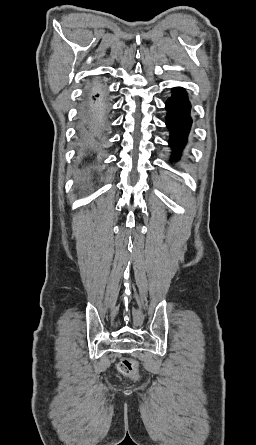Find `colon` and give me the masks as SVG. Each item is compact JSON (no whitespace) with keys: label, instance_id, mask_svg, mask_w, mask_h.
<instances>
[{"label":"colon","instance_id":"obj_1","mask_svg":"<svg viewBox=\"0 0 256 445\" xmlns=\"http://www.w3.org/2000/svg\"><path fill=\"white\" fill-rule=\"evenodd\" d=\"M118 370L126 376H132L136 372V364L130 359H123L118 364Z\"/></svg>","mask_w":256,"mask_h":445}]
</instances>
